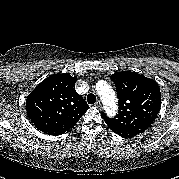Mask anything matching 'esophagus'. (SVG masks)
I'll use <instances>...</instances> for the list:
<instances>
[{"mask_svg":"<svg viewBox=\"0 0 179 179\" xmlns=\"http://www.w3.org/2000/svg\"><path fill=\"white\" fill-rule=\"evenodd\" d=\"M95 106H96L97 108H101V107H102L101 101H100V100H97L96 103H95Z\"/></svg>","mask_w":179,"mask_h":179,"instance_id":"34e87169","label":"esophagus"}]
</instances>
